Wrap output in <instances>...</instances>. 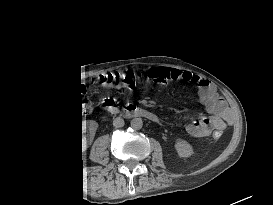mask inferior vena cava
<instances>
[{"mask_svg":"<svg viewBox=\"0 0 273 205\" xmlns=\"http://www.w3.org/2000/svg\"><path fill=\"white\" fill-rule=\"evenodd\" d=\"M124 124H125V123H124V120H123V118H121V117H117V118H115L114 121H113V126H114L115 128L123 127Z\"/></svg>","mask_w":273,"mask_h":205,"instance_id":"inferior-vena-cava-1","label":"inferior vena cava"}]
</instances>
